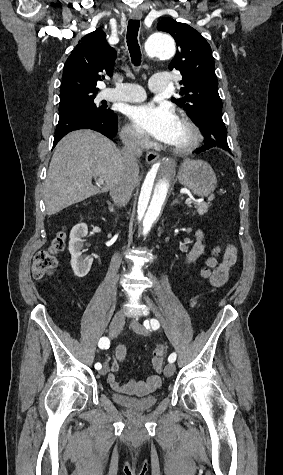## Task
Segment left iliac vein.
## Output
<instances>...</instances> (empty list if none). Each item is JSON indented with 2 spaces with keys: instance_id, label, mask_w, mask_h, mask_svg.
<instances>
[{
  "instance_id": "4c4485c4",
  "label": "left iliac vein",
  "mask_w": 283,
  "mask_h": 475,
  "mask_svg": "<svg viewBox=\"0 0 283 475\" xmlns=\"http://www.w3.org/2000/svg\"><path fill=\"white\" fill-rule=\"evenodd\" d=\"M130 327L136 332L141 334L142 336H148L149 331L138 321L131 320ZM175 365L173 363H169L164 368V375L166 377H171L175 372Z\"/></svg>"
}]
</instances>
